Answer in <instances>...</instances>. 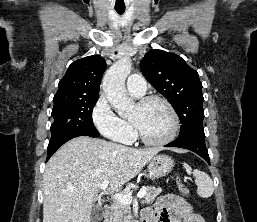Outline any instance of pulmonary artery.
Instances as JSON below:
<instances>
[{"label": "pulmonary artery", "mask_w": 257, "mask_h": 222, "mask_svg": "<svg viewBox=\"0 0 257 222\" xmlns=\"http://www.w3.org/2000/svg\"><path fill=\"white\" fill-rule=\"evenodd\" d=\"M126 85L128 92L135 97L143 96L147 89L144 77L139 74L131 75Z\"/></svg>", "instance_id": "obj_1"}]
</instances>
